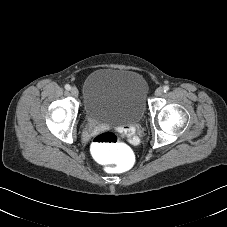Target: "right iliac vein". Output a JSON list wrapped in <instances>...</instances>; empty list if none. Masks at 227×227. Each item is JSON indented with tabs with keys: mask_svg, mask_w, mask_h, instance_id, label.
Returning a JSON list of instances; mask_svg holds the SVG:
<instances>
[{
	"mask_svg": "<svg viewBox=\"0 0 227 227\" xmlns=\"http://www.w3.org/2000/svg\"><path fill=\"white\" fill-rule=\"evenodd\" d=\"M70 92H71V95H72V96L78 97L79 92H78V89H77L76 87H72V88L70 89Z\"/></svg>",
	"mask_w": 227,
	"mask_h": 227,
	"instance_id": "63e3f726",
	"label": "right iliac vein"
}]
</instances>
